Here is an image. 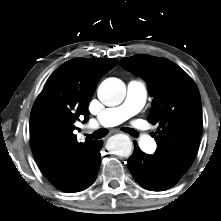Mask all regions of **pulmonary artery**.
<instances>
[{"instance_id":"pulmonary-artery-1","label":"pulmonary artery","mask_w":221,"mask_h":221,"mask_svg":"<svg viewBox=\"0 0 221 221\" xmlns=\"http://www.w3.org/2000/svg\"><path fill=\"white\" fill-rule=\"evenodd\" d=\"M146 97L147 88L143 80L129 81L124 102L119 106L102 110L95 118L91 119V127H110L123 123L143 108ZM140 146L148 153L155 152L157 148L155 141L147 135L141 136Z\"/></svg>"}]
</instances>
